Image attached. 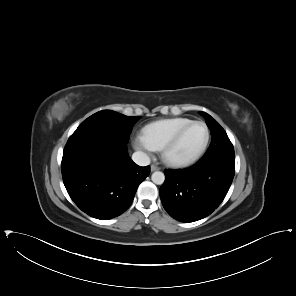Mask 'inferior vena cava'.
I'll list each match as a JSON object with an SVG mask.
<instances>
[{"mask_svg": "<svg viewBox=\"0 0 296 296\" xmlns=\"http://www.w3.org/2000/svg\"><path fill=\"white\" fill-rule=\"evenodd\" d=\"M132 160L139 166H147L151 162L149 156L142 151L134 152L132 155Z\"/></svg>", "mask_w": 296, "mask_h": 296, "instance_id": "602c4592", "label": "inferior vena cava"}]
</instances>
